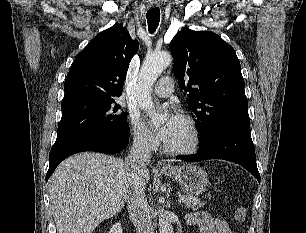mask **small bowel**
I'll return each instance as SVG.
<instances>
[{
  "instance_id": "obj_1",
  "label": "small bowel",
  "mask_w": 306,
  "mask_h": 233,
  "mask_svg": "<svg viewBox=\"0 0 306 233\" xmlns=\"http://www.w3.org/2000/svg\"><path fill=\"white\" fill-rule=\"evenodd\" d=\"M189 225L197 226L201 233H232L227 222L207 212H194L186 216Z\"/></svg>"
}]
</instances>
